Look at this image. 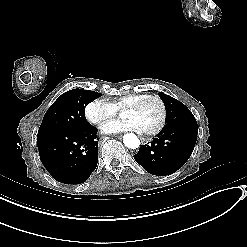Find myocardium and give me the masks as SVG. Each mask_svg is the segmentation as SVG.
<instances>
[{
  "instance_id": "obj_1",
  "label": "myocardium",
  "mask_w": 247,
  "mask_h": 247,
  "mask_svg": "<svg viewBox=\"0 0 247 247\" xmlns=\"http://www.w3.org/2000/svg\"><path fill=\"white\" fill-rule=\"evenodd\" d=\"M150 99H154L156 101H158L161 105V119H160V123L159 125L151 130V131H146L145 133L148 135H157L159 134L162 129L164 128L165 124H166V120H167V116H168V108H167V104L165 102V100L160 96V95H155V94H145L142 95L141 97L135 99L129 106H127L129 108V110H137L140 108V106L142 105V103L146 100H150Z\"/></svg>"
}]
</instances>
